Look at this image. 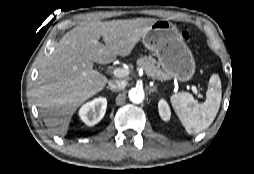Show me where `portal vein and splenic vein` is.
Returning a JSON list of instances; mask_svg holds the SVG:
<instances>
[{"instance_id": "1", "label": "portal vein and splenic vein", "mask_w": 254, "mask_h": 174, "mask_svg": "<svg viewBox=\"0 0 254 174\" xmlns=\"http://www.w3.org/2000/svg\"><path fill=\"white\" fill-rule=\"evenodd\" d=\"M113 75L115 77H118V78H125L129 75V71L127 69H124V68H115L113 71H112ZM192 91L193 93L196 95V97H200L199 93H198V90L195 86L192 87Z\"/></svg>"}]
</instances>
